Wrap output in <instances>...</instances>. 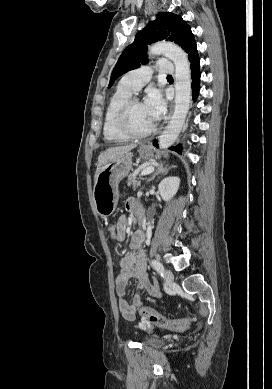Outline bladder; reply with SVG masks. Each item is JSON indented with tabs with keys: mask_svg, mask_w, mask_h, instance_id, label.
<instances>
[{
	"mask_svg": "<svg viewBox=\"0 0 272 389\" xmlns=\"http://www.w3.org/2000/svg\"><path fill=\"white\" fill-rule=\"evenodd\" d=\"M145 344L150 347H161L164 342L162 339L159 338H148L145 340Z\"/></svg>",
	"mask_w": 272,
	"mask_h": 389,
	"instance_id": "1",
	"label": "bladder"
}]
</instances>
